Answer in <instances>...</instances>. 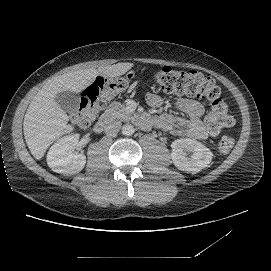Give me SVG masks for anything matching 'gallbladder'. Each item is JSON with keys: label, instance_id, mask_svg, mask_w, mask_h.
<instances>
[{"label": "gallbladder", "instance_id": "obj_1", "mask_svg": "<svg viewBox=\"0 0 271 271\" xmlns=\"http://www.w3.org/2000/svg\"><path fill=\"white\" fill-rule=\"evenodd\" d=\"M55 102L64 111H75L80 102V97L72 91H63L57 94Z\"/></svg>", "mask_w": 271, "mask_h": 271}]
</instances>
